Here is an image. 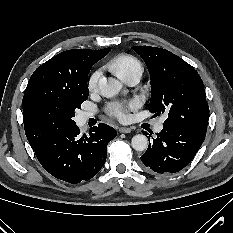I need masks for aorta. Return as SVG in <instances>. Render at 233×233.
<instances>
[{
    "instance_id": "1",
    "label": "aorta",
    "mask_w": 233,
    "mask_h": 233,
    "mask_svg": "<svg viewBox=\"0 0 233 233\" xmlns=\"http://www.w3.org/2000/svg\"><path fill=\"white\" fill-rule=\"evenodd\" d=\"M121 83L115 78H101L99 81L100 92L104 97H113L121 90ZM132 147L136 151H144L148 146V139L143 134L133 136L131 140Z\"/></svg>"
}]
</instances>
